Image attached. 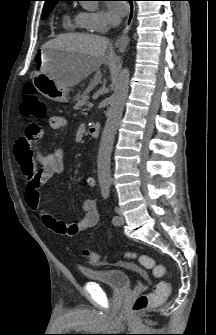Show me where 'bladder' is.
<instances>
[{"label": "bladder", "mask_w": 216, "mask_h": 335, "mask_svg": "<svg viewBox=\"0 0 216 335\" xmlns=\"http://www.w3.org/2000/svg\"><path fill=\"white\" fill-rule=\"evenodd\" d=\"M80 273L88 280L106 285L114 291H126L131 288V274L127 271L108 269H80Z\"/></svg>", "instance_id": "obj_1"}]
</instances>
